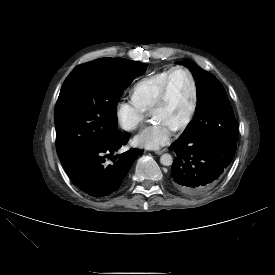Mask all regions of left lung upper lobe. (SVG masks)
<instances>
[{
  "mask_svg": "<svg viewBox=\"0 0 275 275\" xmlns=\"http://www.w3.org/2000/svg\"><path fill=\"white\" fill-rule=\"evenodd\" d=\"M190 69L198 93L196 116L187 125L180 139L207 135H227L237 141L238 126L225 89L217 78L189 61H176Z\"/></svg>",
  "mask_w": 275,
  "mask_h": 275,
  "instance_id": "obj_1",
  "label": "left lung upper lobe"
}]
</instances>
